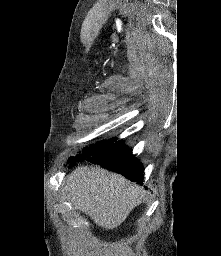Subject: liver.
<instances>
[{"label": "liver", "mask_w": 221, "mask_h": 256, "mask_svg": "<svg viewBox=\"0 0 221 256\" xmlns=\"http://www.w3.org/2000/svg\"><path fill=\"white\" fill-rule=\"evenodd\" d=\"M63 185L74 207L105 229L118 227L143 197L141 187L100 167H78Z\"/></svg>", "instance_id": "obj_1"}]
</instances>
